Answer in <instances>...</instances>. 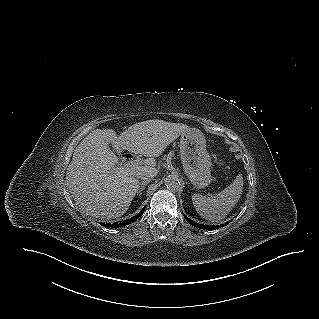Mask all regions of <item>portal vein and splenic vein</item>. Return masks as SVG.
<instances>
[{"label":"portal vein and splenic vein","instance_id":"1","mask_svg":"<svg viewBox=\"0 0 319 319\" xmlns=\"http://www.w3.org/2000/svg\"><path fill=\"white\" fill-rule=\"evenodd\" d=\"M145 161H144V163H145ZM140 164H141V162L138 159H134V160L128 161L126 166H128V167H138Z\"/></svg>","mask_w":319,"mask_h":319}]
</instances>
